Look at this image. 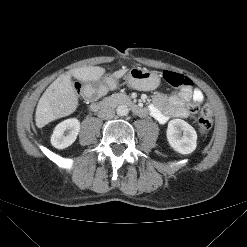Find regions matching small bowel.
Wrapping results in <instances>:
<instances>
[{"mask_svg": "<svg viewBox=\"0 0 247 247\" xmlns=\"http://www.w3.org/2000/svg\"><path fill=\"white\" fill-rule=\"evenodd\" d=\"M203 100L204 96L200 90L183 88L170 96L164 94L154 95L153 104L146 111L157 122L165 124L171 118H186L190 116L192 112L186 108V104L189 101L200 104Z\"/></svg>", "mask_w": 247, "mask_h": 247, "instance_id": "c3829d8e", "label": "small bowel"}]
</instances>
